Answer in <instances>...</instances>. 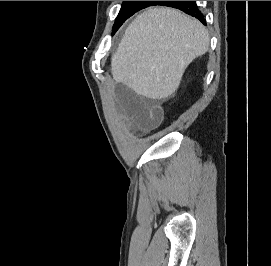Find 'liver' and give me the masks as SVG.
I'll use <instances>...</instances> for the list:
<instances>
[{
	"mask_svg": "<svg viewBox=\"0 0 271 266\" xmlns=\"http://www.w3.org/2000/svg\"><path fill=\"white\" fill-rule=\"evenodd\" d=\"M201 22L171 8H149L128 26L111 59V73L137 94L166 99L188 65L209 49Z\"/></svg>",
	"mask_w": 271,
	"mask_h": 266,
	"instance_id": "6515ba94",
	"label": "liver"
}]
</instances>
